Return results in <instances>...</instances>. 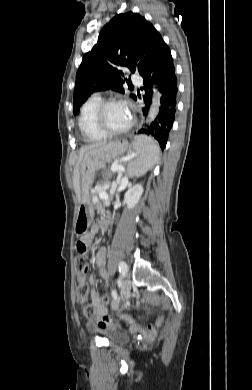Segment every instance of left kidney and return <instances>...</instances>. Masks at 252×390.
I'll use <instances>...</instances> for the list:
<instances>
[{"label": "left kidney", "instance_id": "5707ae66", "mask_svg": "<svg viewBox=\"0 0 252 390\" xmlns=\"http://www.w3.org/2000/svg\"><path fill=\"white\" fill-rule=\"evenodd\" d=\"M142 193L143 187L141 184H136L127 190L124 196V202L129 209H132L136 206V204L140 200Z\"/></svg>", "mask_w": 252, "mask_h": 390}]
</instances>
